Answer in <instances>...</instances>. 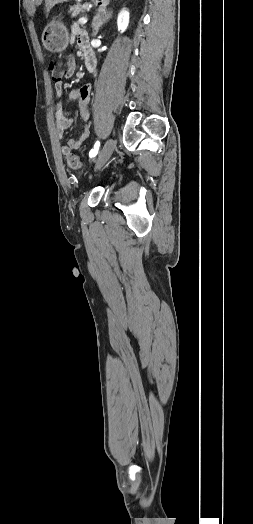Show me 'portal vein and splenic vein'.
Instances as JSON below:
<instances>
[{"instance_id":"portal-vein-and-splenic-vein-1","label":"portal vein and splenic vein","mask_w":253,"mask_h":524,"mask_svg":"<svg viewBox=\"0 0 253 524\" xmlns=\"http://www.w3.org/2000/svg\"><path fill=\"white\" fill-rule=\"evenodd\" d=\"M78 22L81 24V25H84L87 23V18L86 17H81Z\"/></svg>"}]
</instances>
